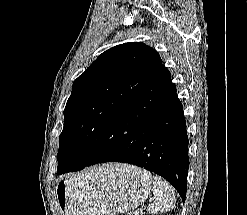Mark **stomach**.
<instances>
[{
    "label": "stomach",
    "mask_w": 247,
    "mask_h": 215,
    "mask_svg": "<svg viewBox=\"0 0 247 215\" xmlns=\"http://www.w3.org/2000/svg\"><path fill=\"white\" fill-rule=\"evenodd\" d=\"M107 173L94 167L59 180L55 194L61 215H118L144 202L151 193V175L145 170L114 164Z\"/></svg>",
    "instance_id": "1"
}]
</instances>
